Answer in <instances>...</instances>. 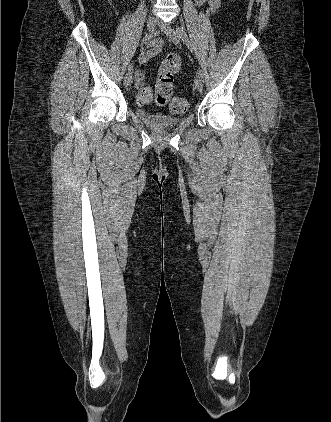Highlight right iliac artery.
<instances>
[{
    "label": "right iliac artery",
    "mask_w": 331,
    "mask_h": 422,
    "mask_svg": "<svg viewBox=\"0 0 331 422\" xmlns=\"http://www.w3.org/2000/svg\"><path fill=\"white\" fill-rule=\"evenodd\" d=\"M154 34H157L156 32ZM152 34L151 35H146L145 37H143L141 44L146 43L147 41H149L152 38ZM133 69V63H130L128 65V71H131Z\"/></svg>",
    "instance_id": "82829eb1"
}]
</instances>
